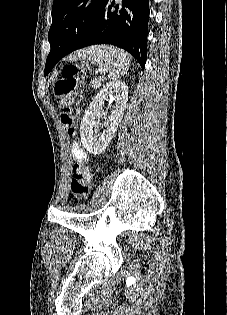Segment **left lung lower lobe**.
I'll return each instance as SVG.
<instances>
[{"label":"left lung lower lobe","mask_w":227,"mask_h":315,"mask_svg":"<svg viewBox=\"0 0 227 315\" xmlns=\"http://www.w3.org/2000/svg\"><path fill=\"white\" fill-rule=\"evenodd\" d=\"M149 0H122V8L115 1L105 0L95 19L82 36L64 48L60 39L50 42L51 51L45 65V75L65 55L96 44H111L122 48L137 59L142 69L147 56Z\"/></svg>","instance_id":"obj_1"}]
</instances>
